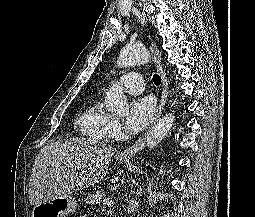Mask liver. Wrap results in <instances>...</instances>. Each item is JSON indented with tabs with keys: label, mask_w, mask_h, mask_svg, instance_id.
Returning a JSON list of instances; mask_svg holds the SVG:
<instances>
[{
	"label": "liver",
	"mask_w": 255,
	"mask_h": 217,
	"mask_svg": "<svg viewBox=\"0 0 255 217\" xmlns=\"http://www.w3.org/2000/svg\"><path fill=\"white\" fill-rule=\"evenodd\" d=\"M114 148L85 138L44 146L33 164L28 198L36 206L97 184L108 171Z\"/></svg>",
	"instance_id": "1"
}]
</instances>
